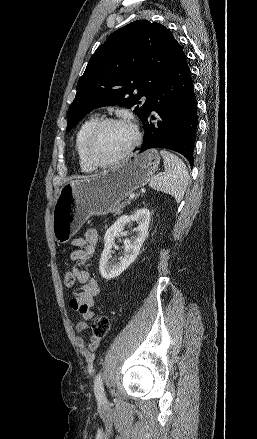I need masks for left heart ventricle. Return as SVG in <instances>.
Masks as SVG:
<instances>
[{"instance_id": "b2bd125f", "label": "left heart ventricle", "mask_w": 257, "mask_h": 439, "mask_svg": "<svg viewBox=\"0 0 257 439\" xmlns=\"http://www.w3.org/2000/svg\"><path fill=\"white\" fill-rule=\"evenodd\" d=\"M133 131L125 125H109L106 126L96 137L93 145V155L99 161H107L122 151L133 140Z\"/></svg>"}]
</instances>
